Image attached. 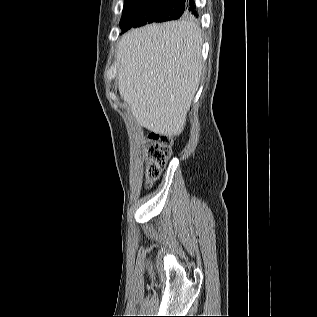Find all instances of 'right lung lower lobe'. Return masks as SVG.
<instances>
[{
	"label": "right lung lower lobe",
	"mask_w": 317,
	"mask_h": 317,
	"mask_svg": "<svg viewBox=\"0 0 317 317\" xmlns=\"http://www.w3.org/2000/svg\"><path fill=\"white\" fill-rule=\"evenodd\" d=\"M179 3L184 6V11L189 13V14H193V15H197V11H196V5L194 0H179Z\"/></svg>",
	"instance_id": "1"
}]
</instances>
